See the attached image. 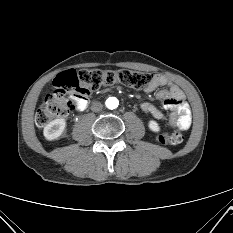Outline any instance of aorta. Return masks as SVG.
I'll return each mask as SVG.
<instances>
[{"mask_svg": "<svg viewBox=\"0 0 233 233\" xmlns=\"http://www.w3.org/2000/svg\"><path fill=\"white\" fill-rule=\"evenodd\" d=\"M106 107L110 110H113V109H116L119 105V101L117 98L115 97H109L107 100H106Z\"/></svg>", "mask_w": 233, "mask_h": 233, "instance_id": "obj_1", "label": "aorta"}]
</instances>
